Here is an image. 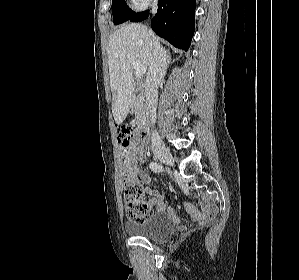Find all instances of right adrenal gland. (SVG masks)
<instances>
[{
	"instance_id": "right-adrenal-gland-1",
	"label": "right adrenal gland",
	"mask_w": 299,
	"mask_h": 280,
	"mask_svg": "<svg viewBox=\"0 0 299 280\" xmlns=\"http://www.w3.org/2000/svg\"><path fill=\"white\" fill-rule=\"evenodd\" d=\"M172 62L170 52L167 51V66Z\"/></svg>"
}]
</instances>
